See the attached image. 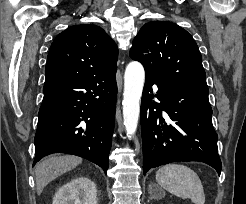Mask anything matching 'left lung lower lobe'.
Returning a JSON list of instances; mask_svg holds the SVG:
<instances>
[{
    "label": "left lung lower lobe",
    "mask_w": 246,
    "mask_h": 204,
    "mask_svg": "<svg viewBox=\"0 0 246 204\" xmlns=\"http://www.w3.org/2000/svg\"><path fill=\"white\" fill-rule=\"evenodd\" d=\"M153 84L158 87L155 95ZM208 93L207 86L146 76L141 100L144 174L171 162L200 161L220 175L218 136L212 125Z\"/></svg>",
    "instance_id": "1"
}]
</instances>
